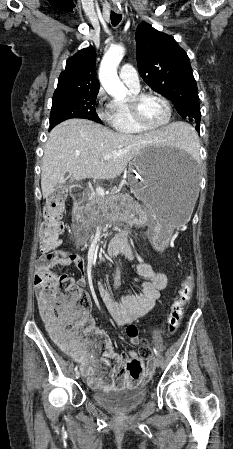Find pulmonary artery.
Returning <instances> with one entry per match:
<instances>
[{
	"instance_id": "e3ab8cb5",
	"label": "pulmonary artery",
	"mask_w": 233,
	"mask_h": 449,
	"mask_svg": "<svg viewBox=\"0 0 233 449\" xmlns=\"http://www.w3.org/2000/svg\"><path fill=\"white\" fill-rule=\"evenodd\" d=\"M119 77L123 83L130 88L139 89V77L135 68L130 64H125L121 67Z\"/></svg>"
}]
</instances>
